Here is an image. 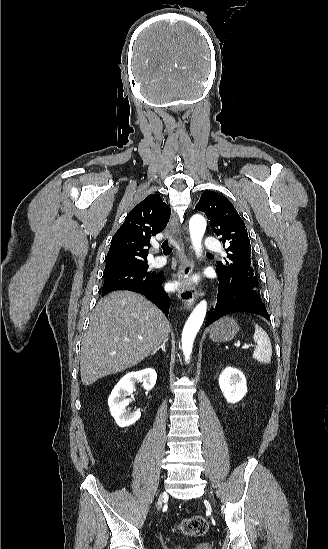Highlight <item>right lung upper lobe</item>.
<instances>
[{"instance_id":"cb5924a9","label":"right lung upper lobe","mask_w":328,"mask_h":549,"mask_svg":"<svg viewBox=\"0 0 328 549\" xmlns=\"http://www.w3.org/2000/svg\"><path fill=\"white\" fill-rule=\"evenodd\" d=\"M171 210L159 194L148 195L127 215L111 240L105 272L147 265V247L169 221Z\"/></svg>"}]
</instances>
